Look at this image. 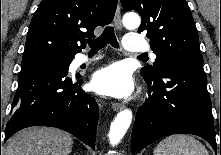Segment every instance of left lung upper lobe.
<instances>
[{
	"label": "left lung upper lobe",
	"mask_w": 221,
	"mask_h": 155,
	"mask_svg": "<svg viewBox=\"0 0 221 155\" xmlns=\"http://www.w3.org/2000/svg\"><path fill=\"white\" fill-rule=\"evenodd\" d=\"M126 10H137L142 18L138 32L146 33L157 58L141 69L146 77H157L173 62L203 64L196 26L185 0H121Z\"/></svg>",
	"instance_id": "left-lung-upper-lobe-1"
}]
</instances>
